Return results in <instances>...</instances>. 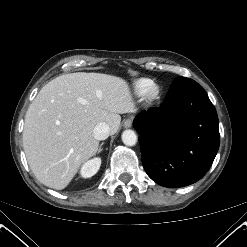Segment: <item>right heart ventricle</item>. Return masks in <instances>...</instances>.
Returning a JSON list of instances; mask_svg holds the SVG:
<instances>
[{
    "label": "right heart ventricle",
    "mask_w": 247,
    "mask_h": 247,
    "mask_svg": "<svg viewBox=\"0 0 247 247\" xmlns=\"http://www.w3.org/2000/svg\"><path fill=\"white\" fill-rule=\"evenodd\" d=\"M152 85V81L147 78H140L133 82L134 92L138 95L145 93V91Z\"/></svg>",
    "instance_id": "right-heart-ventricle-1"
}]
</instances>
